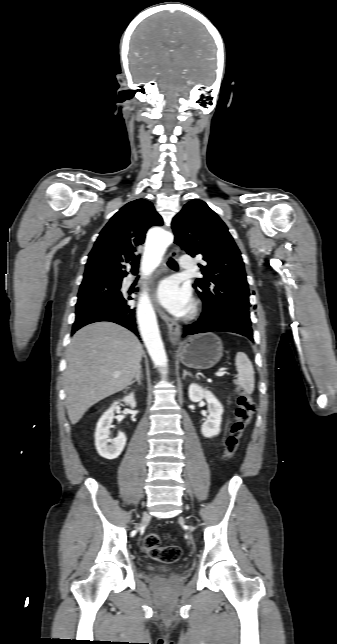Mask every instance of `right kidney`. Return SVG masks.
I'll return each mask as SVG.
<instances>
[{"mask_svg":"<svg viewBox=\"0 0 337 644\" xmlns=\"http://www.w3.org/2000/svg\"><path fill=\"white\" fill-rule=\"evenodd\" d=\"M123 401L129 404L132 408L136 406L134 393H130L124 397ZM118 402H115L104 414L101 416L97 423L95 431V446L97 452L103 458L112 460L117 458L123 451L127 438L123 432H119L116 438H110L108 435L109 429L114 419V411L117 408Z\"/></svg>","mask_w":337,"mask_h":644,"instance_id":"1","label":"right kidney"}]
</instances>
